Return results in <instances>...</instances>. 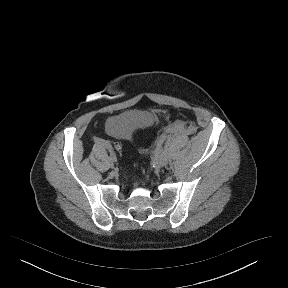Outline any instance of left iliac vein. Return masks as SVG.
Returning <instances> with one entry per match:
<instances>
[{
    "label": "left iliac vein",
    "mask_w": 288,
    "mask_h": 288,
    "mask_svg": "<svg viewBox=\"0 0 288 288\" xmlns=\"http://www.w3.org/2000/svg\"><path fill=\"white\" fill-rule=\"evenodd\" d=\"M167 163V158L165 155H160L157 159H156V164L159 166V167H163L165 166Z\"/></svg>",
    "instance_id": "4c4485c4"
}]
</instances>
